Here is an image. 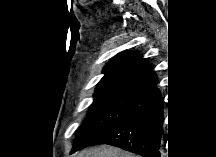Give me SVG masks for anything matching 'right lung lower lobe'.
Instances as JSON below:
<instances>
[{"label": "right lung lower lobe", "instance_id": "obj_1", "mask_svg": "<svg viewBox=\"0 0 216 157\" xmlns=\"http://www.w3.org/2000/svg\"><path fill=\"white\" fill-rule=\"evenodd\" d=\"M164 117V101L156 80L135 91L120 120L92 145L108 144L143 157H162Z\"/></svg>", "mask_w": 216, "mask_h": 157}]
</instances>
